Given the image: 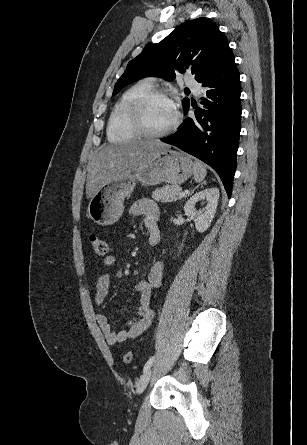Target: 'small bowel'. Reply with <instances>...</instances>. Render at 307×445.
I'll return each mask as SVG.
<instances>
[{
    "label": "small bowel",
    "instance_id": "obj_1",
    "mask_svg": "<svg viewBox=\"0 0 307 445\" xmlns=\"http://www.w3.org/2000/svg\"><path fill=\"white\" fill-rule=\"evenodd\" d=\"M131 215L142 216L148 231V242L155 246L160 239L161 216L157 204L151 199H140L136 201L129 210ZM114 262L113 256H108L104 260L106 267H110ZM163 265L156 261L151 269L147 280L138 282L134 290L138 296V310L136 316L128 321L126 329L115 331L105 315L96 316L98 325L108 344L114 345L124 343L143 333L151 324L153 311L150 306L151 291L160 287L162 282ZM111 283V275L108 270L102 271L96 280L95 304L101 306L107 299Z\"/></svg>",
    "mask_w": 307,
    "mask_h": 445
}]
</instances>
